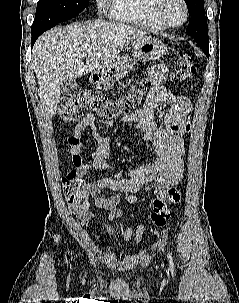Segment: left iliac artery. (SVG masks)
<instances>
[{"label":"left iliac artery","instance_id":"obj_1","mask_svg":"<svg viewBox=\"0 0 239 303\" xmlns=\"http://www.w3.org/2000/svg\"><path fill=\"white\" fill-rule=\"evenodd\" d=\"M168 258H169V261H170V265L173 266L174 265L173 258L170 254L168 255Z\"/></svg>","mask_w":239,"mask_h":303}]
</instances>
